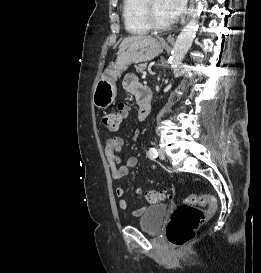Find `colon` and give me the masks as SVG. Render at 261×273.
Wrapping results in <instances>:
<instances>
[{
    "instance_id": "1",
    "label": "colon",
    "mask_w": 261,
    "mask_h": 273,
    "mask_svg": "<svg viewBox=\"0 0 261 273\" xmlns=\"http://www.w3.org/2000/svg\"><path fill=\"white\" fill-rule=\"evenodd\" d=\"M123 113L121 111L103 116V124L109 130H116L120 125ZM139 193L151 204L160 203L171 197L167 190H139ZM196 206H207L202 210ZM218 209L217 200L210 194L188 195L184 203L176 208L166 228V236L174 247H183L195 235L198 227L212 217Z\"/></svg>"
}]
</instances>
